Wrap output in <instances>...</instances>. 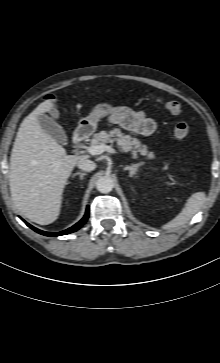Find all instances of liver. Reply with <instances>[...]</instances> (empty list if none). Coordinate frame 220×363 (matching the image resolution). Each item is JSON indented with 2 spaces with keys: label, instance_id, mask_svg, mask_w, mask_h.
Segmentation results:
<instances>
[{
  "label": "liver",
  "instance_id": "liver-1",
  "mask_svg": "<svg viewBox=\"0 0 220 363\" xmlns=\"http://www.w3.org/2000/svg\"><path fill=\"white\" fill-rule=\"evenodd\" d=\"M53 107L52 101H44L24 118L10 157L9 186L15 207L40 225L58 218L67 180L78 161L88 158L67 155L42 129L38 116Z\"/></svg>",
  "mask_w": 220,
  "mask_h": 363
}]
</instances>
